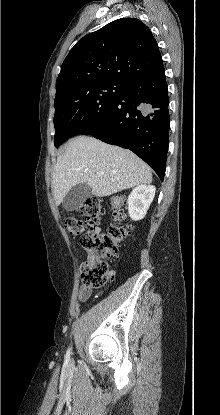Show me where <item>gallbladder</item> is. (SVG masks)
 <instances>
[{
    "label": "gallbladder",
    "instance_id": "bac80fb5",
    "mask_svg": "<svg viewBox=\"0 0 220 415\" xmlns=\"http://www.w3.org/2000/svg\"><path fill=\"white\" fill-rule=\"evenodd\" d=\"M91 195L92 191L88 185L84 183L78 184L66 194L62 206L66 211L77 210Z\"/></svg>",
    "mask_w": 220,
    "mask_h": 415
}]
</instances>
